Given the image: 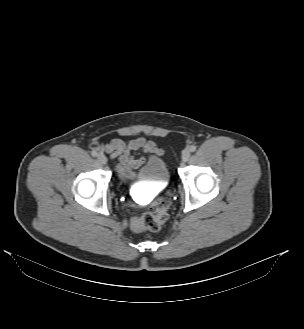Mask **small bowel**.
I'll list each match as a JSON object with an SVG mask.
<instances>
[{
	"mask_svg": "<svg viewBox=\"0 0 304 329\" xmlns=\"http://www.w3.org/2000/svg\"><path fill=\"white\" fill-rule=\"evenodd\" d=\"M102 150L110 155L111 159L117 160V171L124 181L135 178L136 170L144 163L145 157H137L138 152L153 153L161 155L162 150L157 147L156 143L146 140L144 137H137L129 142L120 138H114L102 146Z\"/></svg>",
	"mask_w": 304,
	"mask_h": 329,
	"instance_id": "obj_1",
	"label": "small bowel"
}]
</instances>
